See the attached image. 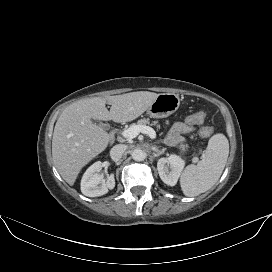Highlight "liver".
I'll return each mask as SVG.
<instances>
[{"mask_svg":"<svg viewBox=\"0 0 272 272\" xmlns=\"http://www.w3.org/2000/svg\"><path fill=\"white\" fill-rule=\"evenodd\" d=\"M157 96L154 92L137 91L83 99L67 106L56 122L52 139L54 164L62 178L73 185L81 169L107 148L108 133L92 119L119 123L135 120ZM106 103L111 105L110 111Z\"/></svg>","mask_w":272,"mask_h":272,"instance_id":"6515ba94","label":"liver"}]
</instances>
